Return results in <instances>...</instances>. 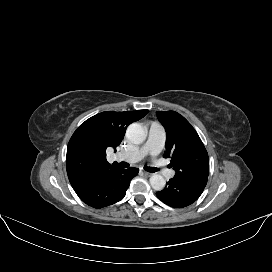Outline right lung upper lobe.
Returning a JSON list of instances; mask_svg holds the SVG:
<instances>
[{
	"label": "right lung upper lobe",
	"instance_id": "1",
	"mask_svg": "<svg viewBox=\"0 0 272 272\" xmlns=\"http://www.w3.org/2000/svg\"><path fill=\"white\" fill-rule=\"evenodd\" d=\"M148 110L99 113L82 123L72 135L66 169L73 189L80 188L119 167L106 159V149L116 147L124 138L128 125L138 121Z\"/></svg>",
	"mask_w": 272,
	"mask_h": 272
}]
</instances>
